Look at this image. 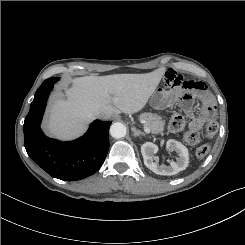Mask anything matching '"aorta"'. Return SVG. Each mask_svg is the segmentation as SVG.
I'll return each mask as SVG.
<instances>
[{
  "label": "aorta",
  "instance_id": "obj_1",
  "mask_svg": "<svg viewBox=\"0 0 245 245\" xmlns=\"http://www.w3.org/2000/svg\"><path fill=\"white\" fill-rule=\"evenodd\" d=\"M110 135L114 138H122L126 135V127L120 122L113 123L110 127Z\"/></svg>",
  "mask_w": 245,
  "mask_h": 245
}]
</instances>
